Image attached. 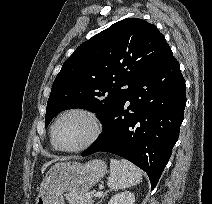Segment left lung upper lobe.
<instances>
[{"label":"left lung upper lobe","mask_w":212,"mask_h":204,"mask_svg":"<svg viewBox=\"0 0 212 204\" xmlns=\"http://www.w3.org/2000/svg\"><path fill=\"white\" fill-rule=\"evenodd\" d=\"M169 49L156 26L143 19L112 24L63 64L48 99L46 126L58 112L70 108L96 112L103 122Z\"/></svg>","instance_id":"left-lung-upper-lobe-1"}]
</instances>
